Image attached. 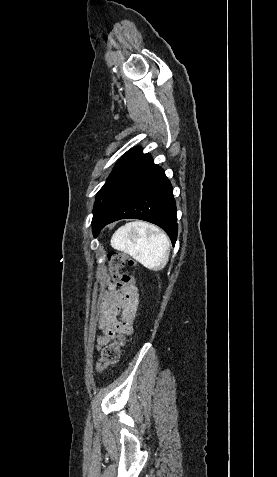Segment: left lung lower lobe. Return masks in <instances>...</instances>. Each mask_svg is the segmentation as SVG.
<instances>
[{
	"instance_id": "0a47b994",
	"label": "left lung lower lobe",
	"mask_w": 277,
	"mask_h": 477,
	"mask_svg": "<svg viewBox=\"0 0 277 477\" xmlns=\"http://www.w3.org/2000/svg\"><path fill=\"white\" fill-rule=\"evenodd\" d=\"M125 218L158 225L175 245L178 225L172 186L164 170L141 149L125 160L101 189L93 210L94 236L105 225Z\"/></svg>"
}]
</instances>
